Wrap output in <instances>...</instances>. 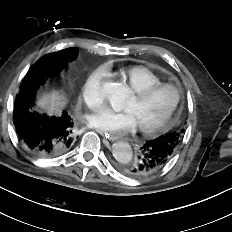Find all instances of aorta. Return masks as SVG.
Here are the masks:
<instances>
[{
	"instance_id": "aorta-1",
	"label": "aorta",
	"mask_w": 232,
	"mask_h": 232,
	"mask_svg": "<svg viewBox=\"0 0 232 232\" xmlns=\"http://www.w3.org/2000/svg\"><path fill=\"white\" fill-rule=\"evenodd\" d=\"M103 89L114 110L120 111L124 108L129 97L124 85L118 82H106ZM112 154L118 162L123 164L130 162L133 156L130 144L124 141H118L112 145Z\"/></svg>"
}]
</instances>
